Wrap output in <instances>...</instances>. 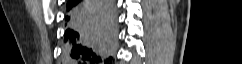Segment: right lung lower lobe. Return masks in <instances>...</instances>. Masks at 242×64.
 <instances>
[{
  "mask_svg": "<svg viewBox=\"0 0 242 64\" xmlns=\"http://www.w3.org/2000/svg\"><path fill=\"white\" fill-rule=\"evenodd\" d=\"M116 32L114 0H69L65 16L64 63L109 64Z\"/></svg>",
  "mask_w": 242,
  "mask_h": 64,
  "instance_id": "right-lung-lower-lobe-1",
  "label": "right lung lower lobe"
}]
</instances>
